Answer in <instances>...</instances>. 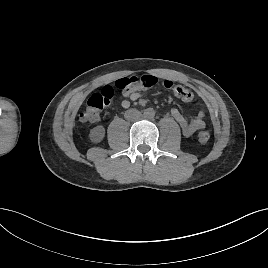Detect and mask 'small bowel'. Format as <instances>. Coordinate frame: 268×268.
Returning <instances> with one entry per match:
<instances>
[{"instance_id": "1", "label": "small bowel", "mask_w": 268, "mask_h": 268, "mask_svg": "<svg viewBox=\"0 0 268 268\" xmlns=\"http://www.w3.org/2000/svg\"><path fill=\"white\" fill-rule=\"evenodd\" d=\"M140 98V93L138 90H133L126 94V98L122 101V106L124 108H129L131 103L137 101ZM172 117L177 121L181 127L182 133L186 137L192 136L196 131L203 129L205 127L204 112L200 111L196 115L187 119L182 115V113L177 109L173 108L171 110Z\"/></svg>"}]
</instances>
